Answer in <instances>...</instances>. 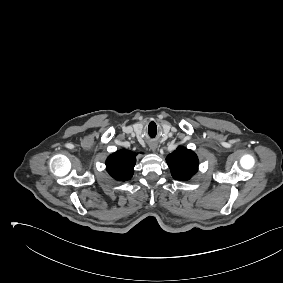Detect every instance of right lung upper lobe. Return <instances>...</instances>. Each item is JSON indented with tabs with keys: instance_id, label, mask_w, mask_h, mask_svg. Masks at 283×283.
Here are the masks:
<instances>
[{
	"instance_id": "1",
	"label": "right lung upper lobe",
	"mask_w": 283,
	"mask_h": 283,
	"mask_svg": "<svg viewBox=\"0 0 283 283\" xmlns=\"http://www.w3.org/2000/svg\"><path fill=\"white\" fill-rule=\"evenodd\" d=\"M136 154L128 150H119L110 155L106 160L108 173L118 181L131 179L134 173Z\"/></svg>"
}]
</instances>
